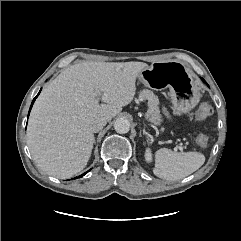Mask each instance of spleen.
<instances>
[{
	"label": "spleen",
	"mask_w": 241,
	"mask_h": 241,
	"mask_svg": "<svg viewBox=\"0 0 241 241\" xmlns=\"http://www.w3.org/2000/svg\"><path fill=\"white\" fill-rule=\"evenodd\" d=\"M205 162V156L199 152H175L161 148L155 153L153 173L164 180L182 179L196 170Z\"/></svg>",
	"instance_id": "obj_1"
}]
</instances>
